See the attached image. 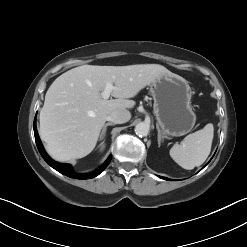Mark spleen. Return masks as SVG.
Wrapping results in <instances>:
<instances>
[{
  "label": "spleen",
  "instance_id": "obj_1",
  "mask_svg": "<svg viewBox=\"0 0 247 247\" xmlns=\"http://www.w3.org/2000/svg\"><path fill=\"white\" fill-rule=\"evenodd\" d=\"M214 128L207 124L203 129L187 135L170 150L172 159L182 168L192 170L205 162L211 151Z\"/></svg>",
  "mask_w": 247,
  "mask_h": 247
}]
</instances>
